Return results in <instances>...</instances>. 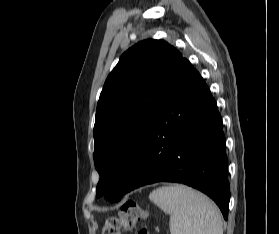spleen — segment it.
<instances>
[{
  "mask_svg": "<svg viewBox=\"0 0 279 234\" xmlns=\"http://www.w3.org/2000/svg\"><path fill=\"white\" fill-rule=\"evenodd\" d=\"M150 200L170 214L171 234H223L218 207L202 193L185 185L159 187Z\"/></svg>",
  "mask_w": 279,
  "mask_h": 234,
  "instance_id": "obj_1",
  "label": "spleen"
}]
</instances>
